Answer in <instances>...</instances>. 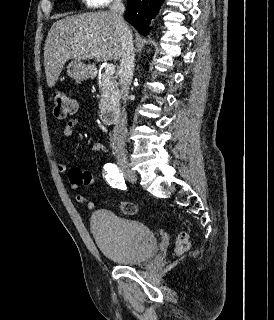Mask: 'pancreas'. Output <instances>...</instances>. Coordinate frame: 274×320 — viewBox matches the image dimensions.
<instances>
[{
  "mask_svg": "<svg viewBox=\"0 0 274 320\" xmlns=\"http://www.w3.org/2000/svg\"><path fill=\"white\" fill-rule=\"evenodd\" d=\"M98 82V86L102 92V98L99 104L100 110H109V108L119 106L120 90L117 88L115 78L108 76V74H102Z\"/></svg>",
  "mask_w": 274,
  "mask_h": 320,
  "instance_id": "obj_1",
  "label": "pancreas"
}]
</instances>
